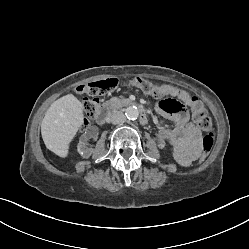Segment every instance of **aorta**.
<instances>
[{"label": "aorta", "instance_id": "762f6f07", "mask_svg": "<svg viewBox=\"0 0 249 249\" xmlns=\"http://www.w3.org/2000/svg\"><path fill=\"white\" fill-rule=\"evenodd\" d=\"M125 115L130 120H135L139 116V111L136 106H128L125 109Z\"/></svg>", "mask_w": 249, "mask_h": 249}]
</instances>
